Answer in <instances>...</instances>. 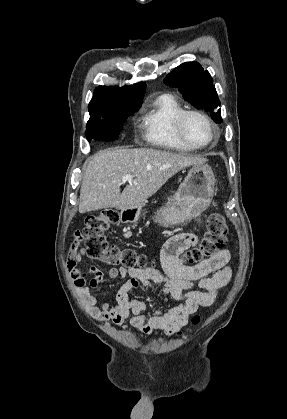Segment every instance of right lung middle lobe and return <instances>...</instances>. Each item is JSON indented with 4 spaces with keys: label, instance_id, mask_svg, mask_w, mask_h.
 I'll list each match as a JSON object with an SVG mask.
<instances>
[{
    "label": "right lung middle lobe",
    "instance_id": "dd1d6c3e",
    "mask_svg": "<svg viewBox=\"0 0 287 419\" xmlns=\"http://www.w3.org/2000/svg\"><path fill=\"white\" fill-rule=\"evenodd\" d=\"M139 108L140 106H129L90 114L85 131L88 141L90 142L92 139L98 141L117 140L127 117L134 114Z\"/></svg>",
    "mask_w": 287,
    "mask_h": 419
}]
</instances>
